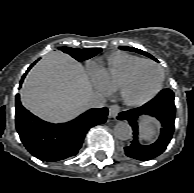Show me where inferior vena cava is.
<instances>
[{
	"mask_svg": "<svg viewBox=\"0 0 194 193\" xmlns=\"http://www.w3.org/2000/svg\"><path fill=\"white\" fill-rule=\"evenodd\" d=\"M106 102L105 97L100 93H92L86 100L88 108H102Z\"/></svg>",
	"mask_w": 194,
	"mask_h": 193,
	"instance_id": "obj_1",
	"label": "inferior vena cava"
}]
</instances>
